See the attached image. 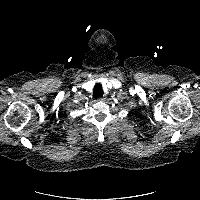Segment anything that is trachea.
<instances>
[{
	"instance_id": "1",
	"label": "trachea",
	"mask_w": 200,
	"mask_h": 200,
	"mask_svg": "<svg viewBox=\"0 0 200 200\" xmlns=\"http://www.w3.org/2000/svg\"><path fill=\"white\" fill-rule=\"evenodd\" d=\"M103 96V90H102V85L97 83L94 86V90H93V97L94 98H99Z\"/></svg>"
}]
</instances>
